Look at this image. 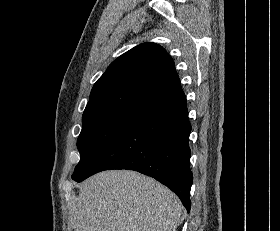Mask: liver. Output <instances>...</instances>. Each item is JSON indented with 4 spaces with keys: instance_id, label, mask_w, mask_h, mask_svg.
Here are the masks:
<instances>
[{
    "instance_id": "obj_1",
    "label": "liver",
    "mask_w": 280,
    "mask_h": 231,
    "mask_svg": "<svg viewBox=\"0 0 280 231\" xmlns=\"http://www.w3.org/2000/svg\"><path fill=\"white\" fill-rule=\"evenodd\" d=\"M181 203L168 187L129 169L100 171L72 201L74 231H175Z\"/></svg>"
}]
</instances>
